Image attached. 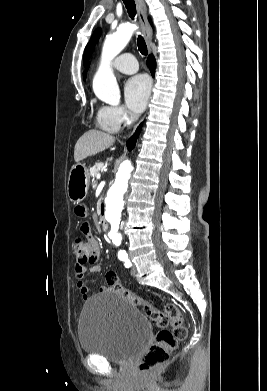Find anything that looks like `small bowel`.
Segmentation results:
<instances>
[{
	"instance_id": "c3829d8e",
	"label": "small bowel",
	"mask_w": 267,
	"mask_h": 391,
	"mask_svg": "<svg viewBox=\"0 0 267 391\" xmlns=\"http://www.w3.org/2000/svg\"><path fill=\"white\" fill-rule=\"evenodd\" d=\"M75 214L78 217L84 218L87 215V209L83 204H79L75 207ZM81 232L88 238L92 239V231L91 227L87 222H83L81 224ZM100 267L96 264H92L89 266H75V276L77 279V288L81 293V296L84 300L89 298V288L85 283V277L87 274L97 273L99 272ZM108 289L106 287H101L100 292H106Z\"/></svg>"
}]
</instances>
